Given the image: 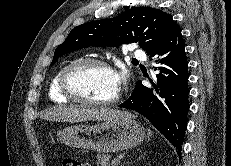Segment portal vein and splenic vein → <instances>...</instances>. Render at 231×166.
I'll use <instances>...</instances> for the list:
<instances>
[{"mask_svg": "<svg viewBox=\"0 0 231 166\" xmlns=\"http://www.w3.org/2000/svg\"><path fill=\"white\" fill-rule=\"evenodd\" d=\"M123 157H118V158H115L114 160L119 162Z\"/></svg>", "mask_w": 231, "mask_h": 166, "instance_id": "1", "label": "portal vein and splenic vein"}]
</instances>
